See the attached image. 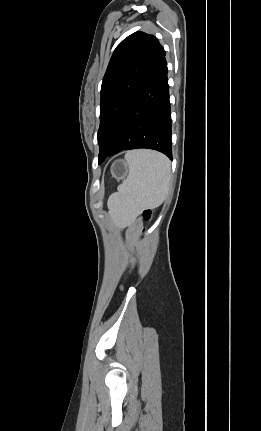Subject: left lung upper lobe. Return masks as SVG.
Listing matches in <instances>:
<instances>
[{"mask_svg":"<svg viewBox=\"0 0 261 431\" xmlns=\"http://www.w3.org/2000/svg\"><path fill=\"white\" fill-rule=\"evenodd\" d=\"M164 56L158 39L143 32L131 34L116 47L101 85L99 163L108 157L133 98Z\"/></svg>","mask_w":261,"mask_h":431,"instance_id":"obj_1","label":"left lung upper lobe"}]
</instances>
